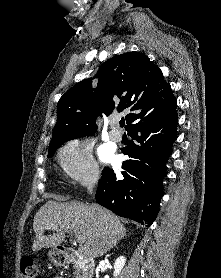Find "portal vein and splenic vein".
<instances>
[{
  "instance_id": "18ae733b",
  "label": "portal vein and splenic vein",
  "mask_w": 221,
  "mask_h": 278,
  "mask_svg": "<svg viewBox=\"0 0 221 278\" xmlns=\"http://www.w3.org/2000/svg\"><path fill=\"white\" fill-rule=\"evenodd\" d=\"M53 229L57 230L58 227H57V226H53ZM74 235H75L76 241H77L78 243H83V242H84V239H83L80 235H78V234L75 233V232H74Z\"/></svg>"
}]
</instances>
